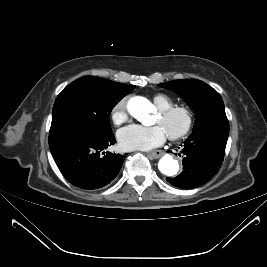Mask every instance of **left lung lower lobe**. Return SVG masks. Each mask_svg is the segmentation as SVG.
<instances>
[{
  "label": "left lung lower lobe",
  "instance_id": "obj_1",
  "mask_svg": "<svg viewBox=\"0 0 267 267\" xmlns=\"http://www.w3.org/2000/svg\"><path fill=\"white\" fill-rule=\"evenodd\" d=\"M228 134L229 127H208L194 131L182 150V173L175 178L167 177V181L183 189L208 182L223 162Z\"/></svg>",
  "mask_w": 267,
  "mask_h": 267
}]
</instances>
